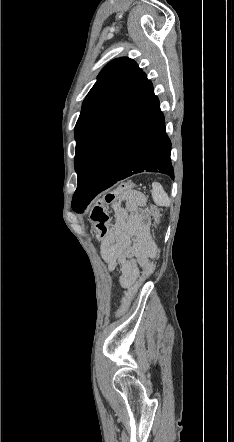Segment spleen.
I'll return each instance as SVG.
<instances>
[{
  "label": "spleen",
  "instance_id": "3e777b00",
  "mask_svg": "<svg viewBox=\"0 0 234 442\" xmlns=\"http://www.w3.org/2000/svg\"><path fill=\"white\" fill-rule=\"evenodd\" d=\"M152 197L156 205L158 206H170V198L164 191L161 184L154 182L152 183Z\"/></svg>",
  "mask_w": 234,
  "mask_h": 442
}]
</instances>
